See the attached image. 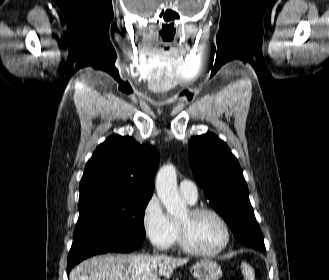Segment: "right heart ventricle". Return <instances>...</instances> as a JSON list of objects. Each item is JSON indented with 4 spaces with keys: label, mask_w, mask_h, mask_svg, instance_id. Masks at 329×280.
<instances>
[{
    "label": "right heart ventricle",
    "mask_w": 329,
    "mask_h": 280,
    "mask_svg": "<svg viewBox=\"0 0 329 280\" xmlns=\"http://www.w3.org/2000/svg\"><path fill=\"white\" fill-rule=\"evenodd\" d=\"M188 201V200H187ZM189 202V201H188ZM189 203H191V202H189ZM175 224V227H176V240H178V237H179V235H178V226H177V224L176 223H174Z\"/></svg>",
    "instance_id": "1"
}]
</instances>
